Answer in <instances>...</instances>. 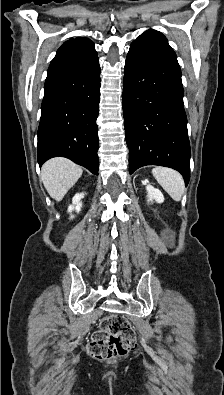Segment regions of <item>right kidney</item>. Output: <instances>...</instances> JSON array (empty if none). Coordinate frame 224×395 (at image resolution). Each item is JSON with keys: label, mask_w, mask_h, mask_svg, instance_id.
I'll return each instance as SVG.
<instances>
[{"label": "right kidney", "mask_w": 224, "mask_h": 395, "mask_svg": "<svg viewBox=\"0 0 224 395\" xmlns=\"http://www.w3.org/2000/svg\"><path fill=\"white\" fill-rule=\"evenodd\" d=\"M84 197L83 193H77L75 194V196L72 199V205H70L68 207V212H72L73 210L79 212L81 210L82 207V203H81V199ZM71 218H73V216L71 215Z\"/></svg>", "instance_id": "obj_1"}]
</instances>
